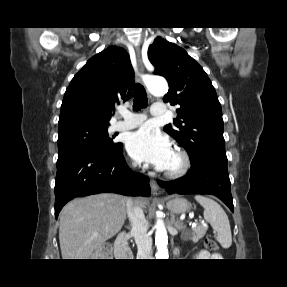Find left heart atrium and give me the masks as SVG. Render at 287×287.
Returning <instances> with one entry per match:
<instances>
[{
    "label": "left heart atrium",
    "mask_w": 287,
    "mask_h": 287,
    "mask_svg": "<svg viewBox=\"0 0 287 287\" xmlns=\"http://www.w3.org/2000/svg\"><path fill=\"white\" fill-rule=\"evenodd\" d=\"M126 147L136 161L151 164L160 170L166 168L173 152L169 139L147 126L131 133Z\"/></svg>",
    "instance_id": "1"
}]
</instances>
